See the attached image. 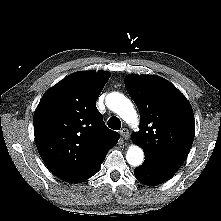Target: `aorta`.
<instances>
[{
  "instance_id": "aorta-1",
  "label": "aorta",
  "mask_w": 221,
  "mask_h": 221,
  "mask_svg": "<svg viewBox=\"0 0 221 221\" xmlns=\"http://www.w3.org/2000/svg\"><path fill=\"white\" fill-rule=\"evenodd\" d=\"M106 106L120 116L126 123L137 126L138 115L132 102L118 92L109 93L105 99ZM127 162L133 166H140L144 161L143 150L138 145H131L126 153Z\"/></svg>"
}]
</instances>
